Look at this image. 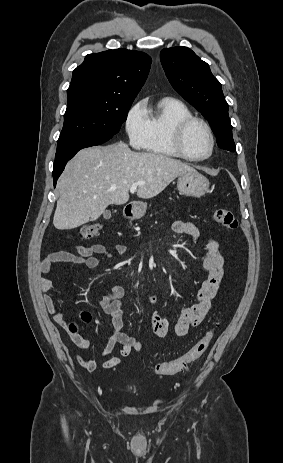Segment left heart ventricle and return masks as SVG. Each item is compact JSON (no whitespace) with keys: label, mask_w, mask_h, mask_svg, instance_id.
I'll use <instances>...</instances> for the list:
<instances>
[{"label":"left heart ventricle","mask_w":283,"mask_h":463,"mask_svg":"<svg viewBox=\"0 0 283 463\" xmlns=\"http://www.w3.org/2000/svg\"><path fill=\"white\" fill-rule=\"evenodd\" d=\"M187 153L194 157H203L210 151V137L206 129L199 123L189 127L184 137Z\"/></svg>","instance_id":"obj_1"}]
</instances>
